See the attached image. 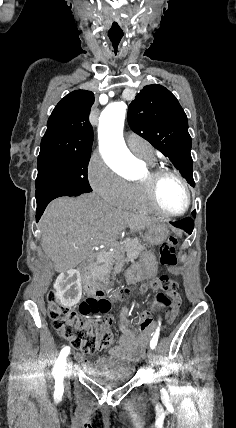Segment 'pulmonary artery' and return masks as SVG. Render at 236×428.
Listing matches in <instances>:
<instances>
[{
    "label": "pulmonary artery",
    "mask_w": 236,
    "mask_h": 428,
    "mask_svg": "<svg viewBox=\"0 0 236 428\" xmlns=\"http://www.w3.org/2000/svg\"><path fill=\"white\" fill-rule=\"evenodd\" d=\"M131 151L139 158L142 159H154L153 148L149 145L141 146L136 142L131 141L129 144Z\"/></svg>",
    "instance_id": "obj_1"
}]
</instances>
